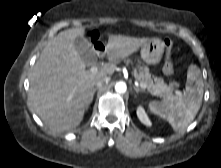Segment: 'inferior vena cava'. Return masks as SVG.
I'll list each match as a JSON object with an SVG mask.
<instances>
[{
    "label": "inferior vena cava",
    "mask_w": 221,
    "mask_h": 168,
    "mask_svg": "<svg viewBox=\"0 0 221 168\" xmlns=\"http://www.w3.org/2000/svg\"><path fill=\"white\" fill-rule=\"evenodd\" d=\"M110 81V78L109 77H103V78H100L97 80L96 82V87H102L103 85L105 84H108V82Z\"/></svg>",
    "instance_id": "602c4592"
}]
</instances>
